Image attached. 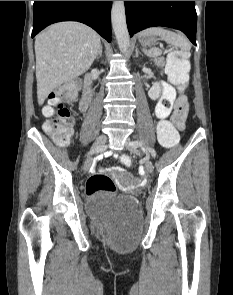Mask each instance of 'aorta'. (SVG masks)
Instances as JSON below:
<instances>
[{
    "label": "aorta",
    "instance_id": "obj_1",
    "mask_svg": "<svg viewBox=\"0 0 233 295\" xmlns=\"http://www.w3.org/2000/svg\"><path fill=\"white\" fill-rule=\"evenodd\" d=\"M112 27L121 52L126 53L130 38L126 24L124 1H114L111 10Z\"/></svg>",
    "mask_w": 233,
    "mask_h": 295
}]
</instances>
